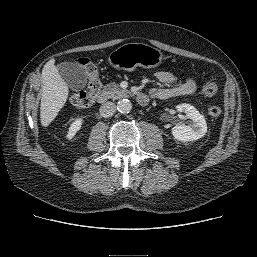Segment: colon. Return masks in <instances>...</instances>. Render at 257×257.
Instances as JSON below:
<instances>
[{
	"mask_svg": "<svg viewBox=\"0 0 257 257\" xmlns=\"http://www.w3.org/2000/svg\"><path fill=\"white\" fill-rule=\"evenodd\" d=\"M79 64L86 73L88 84L84 90L74 93L70 97V101L74 106L87 108L93 104L102 84L96 66L89 59H80ZM217 90L218 86L214 81L205 82L201 88V92L204 96H213L216 94ZM208 112L210 116L218 117L221 114V108L218 105H212L209 107Z\"/></svg>",
	"mask_w": 257,
	"mask_h": 257,
	"instance_id": "5ec220e1",
	"label": "colon"
}]
</instances>
